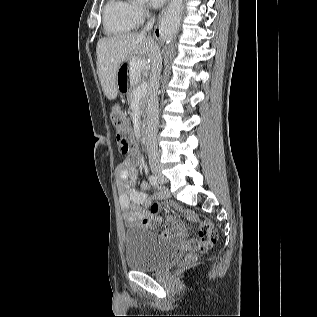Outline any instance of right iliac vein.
<instances>
[{
  "label": "right iliac vein",
  "mask_w": 317,
  "mask_h": 317,
  "mask_svg": "<svg viewBox=\"0 0 317 317\" xmlns=\"http://www.w3.org/2000/svg\"><path fill=\"white\" fill-rule=\"evenodd\" d=\"M156 174H158V175L160 176V178H161L163 181L166 180V178H165L164 176H161V175L159 174V172H156Z\"/></svg>",
  "instance_id": "right-iliac-vein-1"
}]
</instances>
